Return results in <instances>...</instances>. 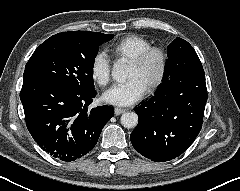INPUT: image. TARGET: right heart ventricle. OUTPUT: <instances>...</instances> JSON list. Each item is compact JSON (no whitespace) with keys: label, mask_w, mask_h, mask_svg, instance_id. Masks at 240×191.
I'll use <instances>...</instances> for the list:
<instances>
[{"label":"right heart ventricle","mask_w":240,"mask_h":191,"mask_svg":"<svg viewBox=\"0 0 240 191\" xmlns=\"http://www.w3.org/2000/svg\"><path fill=\"white\" fill-rule=\"evenodd\" d=\"M150 46L151 42L148 39L138 35H128L113 43L110 51L116 59L131 60Z\"/></svg>","instance_id":"1"}]
</instances>
